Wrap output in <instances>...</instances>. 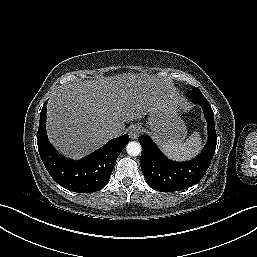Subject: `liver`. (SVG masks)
I'll list each match as a JSON object with an SVG mask.
<instances>
[{
	"label": "liver",
	"mask_w": 257,
	"mask_h": 257,
	"mask_svg": "<svg viewBox=\"0 0 257 257\" xmlns=\"http://www.w3.org/2000/svg\"><path fill=\"white\" fill-rule=\"evenodd\" d=\"M161 104L178 108L160 81L146 74L124 73L82 80L53 93L47 106V134L63 155L80 159L103 146L107 132L125 130Z\"/></svg>",
	"instance_id": "1"
}]
</instances>
